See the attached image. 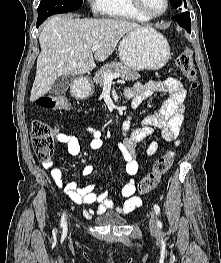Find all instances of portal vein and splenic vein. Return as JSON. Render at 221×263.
I'll return each instance as SVG.
<instances>
[{
    "label": "portal vein and splenic vein",
    "mask_w": 221,
    "mask_h": 263,
    "mask_svg": "<svg viewBox=\"0 0 221 263\" xmlns=\"http://www.w3.org/2000/svg\"><path fill=\"white\" fill-rule=\"evenodd\" d=\"M98 48H99V46H93V47L91 48V50H92L93 52H95V51H97ZM119 76H120L119 73H107V74L105 75V82L111 83V82L113 81V79H116V78H118Z\"/></svg>",
    "instance_id": "obj_1"
}]
</instances>
